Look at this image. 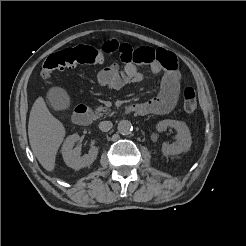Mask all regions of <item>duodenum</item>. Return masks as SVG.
Here are the masks:
<instances>
[{
    "label": "duodenum",
    "instance_id": "410a0bca",
    "mask_svg": "<svg viewBox=\"0 0 246 246\" xmlns=\"http://www.w3.org/2000/svg\"><path fill=\"white\" fill-rule=\"evenodd\" d=\"M138 107L136 104H132L127 108L128 112H137ZM91 121V113L87 106L79 105L76 107L73 114V122L78 126H86Z\"/></svg>",
    "mask_w": 246,
    "mask_h": 246
}]
</instances>
